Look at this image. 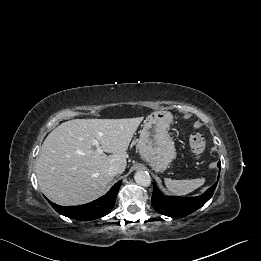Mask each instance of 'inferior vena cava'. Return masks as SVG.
<instances>
[{
    "mask_svg": "<svg viewBox=\"0 0 261 261\" xmlns=\"http://www.w3.org/2000/svg\"><path fill=\"white\" fill-rule=\"evenodd\" d=\"M108 173L110 175H117V174H120L121 173V168L118 166V165H112L108 168Z\"/></svg>",
    "mask_w": 261,
    "mask_h": 261,
    "instance_id": "obj_1",
    "label": "inferior vena cava"
}]
</instances>
